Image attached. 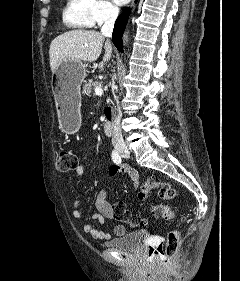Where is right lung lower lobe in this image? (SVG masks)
<instances>
[{
    "label": "right lung lower lobe",
    "mask_w": 240,
    "mask_h": 281,
    "mask_svg": "<svg viewBox=\"0 0 240 281\" xmlns=\"http://www.w3.org/2000/svg\"><path fill=\"white\" fill-rule=\"evenodd\" d=\"M130 7L126 8L122 14L118 17V19L115 22L113 34H112V40L114 45L117 47L119 51H123L122 49V35L125 29V25L128 20V16L130 14Z\"/></svg>",
    "instance_id": "obj_1"
}]
</instances>
